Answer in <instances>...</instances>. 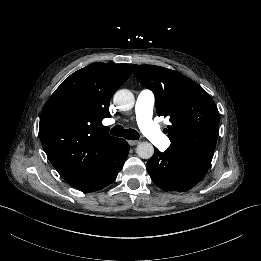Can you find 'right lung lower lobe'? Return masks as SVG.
Instances as JSON below:
<instances>
[{"label": "right lung lower lobe", "instance_id": "obj_1", "mask_svg": "<svg viewBox=\"0 0 261 261\" xmlns=\"http://www.w3.org/2000/svg\"><path fill=\"white\" fill-rule=\"evenodd\" d=\"M130 146L122 138L117 140L109 154L90 169L69 178L68 183L83 192H94L112 183L122 169Z\"/></svg>", "mask_w": 261, "mask_h": 261}]
</instances>
